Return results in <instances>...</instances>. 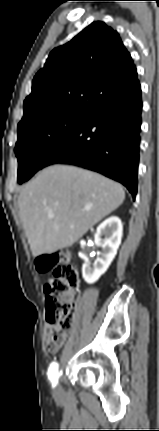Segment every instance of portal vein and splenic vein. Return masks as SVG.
I'll return each instance as SVG.
<instances>
[{
  "label": "portal vein and splenic vein",
  "mask_w": 159,
  "mask_h": 431,
  "mask_svg": "<svg viewBox=\"0 0 159 431\" xmlns=\"http://www.w3.org/2000/svg\"><path fill=\"white\" fill-rule=\"evenodd\" d=\"M85 211H89V208H86ZM53 215H50V218H53Z\"/></svg>",
  "instance_id": "18ae733b"
}]
</instances>
